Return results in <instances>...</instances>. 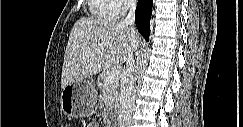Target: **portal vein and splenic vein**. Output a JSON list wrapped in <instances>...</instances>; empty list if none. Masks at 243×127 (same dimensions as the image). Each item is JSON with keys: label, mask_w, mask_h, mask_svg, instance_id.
Listing matches in <instances>:
<instances>
[{"label": "portal vein and splenic vein", "mask_w": 243, "mask_h": 127, "mask_svg": "<svg viewBox=\"0 0 243 127\" xmlns=\"http://www.w3.org/2000/svg\"><path fill=\"white\" fill-rule=\"evenodd\" d=\"M120 76V68H113L109 72H107L105 77V82L109 84L113 80L119 79Z\"/></svg>", "instance_id": "1"}]
</instances>
